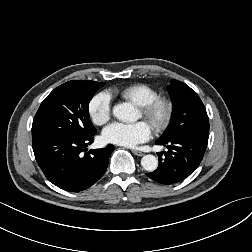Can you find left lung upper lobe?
Returning <instances> with one entry per match:
<instances>
[{
  "label": "left lung upper lobe",
  "mask_w": 252,
  "mask_h": 252,
  "mask_svg": "<svg viewBox=\"0 0 252 252\" xmlns=\"http://www.w3.org/2000/svg\"><path fill=\"white\" fill-rule=\"evenodd\" d=\"M169 92L174 106L171 126L158 140H169L189 132L209 134L206 109L197 95L183 82L172 80Z\"/></svg>",
  "instance_id": "obj_1"
}]
</instances>
